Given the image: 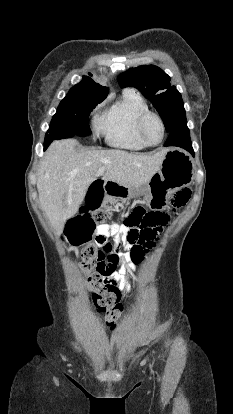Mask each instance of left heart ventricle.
<instances>
[{
	"label": "left heart ventricle",
	"mask_w": 233,
	"mask_h": 414,
	"mask_svg": "<svg viewBox=\"0 0 233 414\" xmlns=\"http://www.w3.org/2000/svg\"><path fill=\"white\" fill-rule=\"evenodd\" d=\"M145 130L150 141L158 142L160 140L162 131L159 122L155 118H150L147 121Z\"/></svg>",
	"instance_id": "left-heart-ventricle-1"
}]
</instances>
